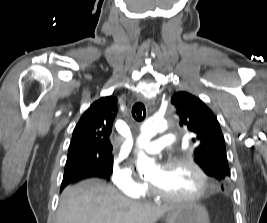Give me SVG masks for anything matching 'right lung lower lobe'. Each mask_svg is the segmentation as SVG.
<instances>
[{
	"label": "right lung lower lobe",
	"mask_w": 267,
	"mask_h": 223,
	"mask_svg": "<svg viewBox=\"0 0 267 223\" xmlns=\"http://www.w3.org/2000/svg\"><path fill=\"white\" fill-rule=\"evenodd\" d=\"M90 177H99L102 178V176L98 173H94L91 171H83V170H75V171H69L64 172L63 181L61 184V190L68 184L72 182L79 181L81 179L90 178Z\"/></svg>",
	"instance_id": "obj_1"
}]
</instances>
